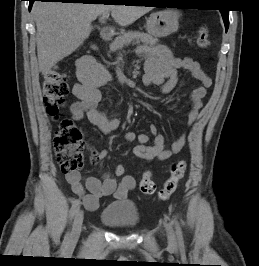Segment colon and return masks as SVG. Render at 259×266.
I'll list each match as a JSON object with an SVG mask.
<instances>
[{"label": "colon", "instance_id": "5ec220e1", "mask_svg": "<svg viewBox=\"0 0 259 266\" xmlns=\"http://www.w3.org/2000/svg\"><path fill=\"white\" fill-rule=\"evenodd\" d=\"M197 45L207 48L210 44L209 31L206 26L199 27L196 37ZM69 92L68 76L53 68L45 75L43 83V102L46 112L56 118L65 105V98ZM85 142L82 133L71 120L62 119L59 123V130L54 139L56 160L64 174L78 173L83 165V148ZM187 163L184 160L174 162L170 167V175L158 192L161 200H167L177 189L181 179L184 177ZM125 168L118 165L115 173L122 176ZM140 191L145 195H151L156 190L152 179V172L147 170L143 173L139 183Z\"/></svg>", "mask_w": 259, "mask_h": 266}]
</instances>
